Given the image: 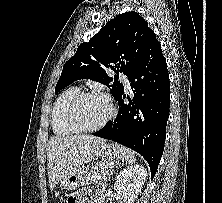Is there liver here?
Returning a JSON list of instances; mask_svg holds the SVG:
<instances>
[{"mask_svg": "<svg viewBox=\"0 0 222 203\" xmlns=\"http://www.w3.org/2000/svg\"><path fill=\"white\" fill-rule=\"evenodd\" d=\"M104 139L92 135L56 136L47 145L48 178L51 190L71 171L89 163Z\"/></svg>", "mask_w": 222, "mask_h": 203, "instance_id": "liver-1", "label": "liver"}]
</instances>
